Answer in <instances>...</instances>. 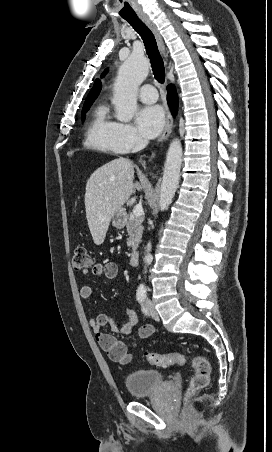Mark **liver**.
I'll return each mask as SVG.
<instances>
[{"label":"liver","mask_w":272,"mask_h":452,"mask_svg":"<svg viewBox=\"0 0 272 452\" xmlns=\"http://www.w3.org/2000/svg\"><path fill=\"white\" fill-rule=\"evenodd\" d=\"M134 168L119 157L95 170L86 184L85 209L90 233L96 245L104 242L110 221L135 193Z\"/></svg>","instance_id":"liver-1"}]
</instances>
